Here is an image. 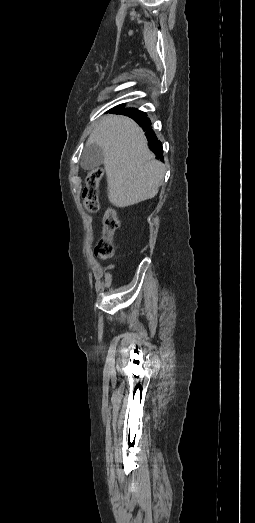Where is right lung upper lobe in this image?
Returning <instances> with one entry per match:
<instances>
[{"label":"right lung upper lobe","instance_id":"obj_1","mask_svg":"<svg viewBox=\"0 0 255 523\" xmlns=\"http://www.w3.org/2000/svg\"><path fill=\"white\" fill-rule=\"evenodd\" d=\"M110 112L121 113L134 119L139 125H141L143 131L148 140L149 148L155 153L156 158L163 161V148L161 142L156 138L153 130L150 128V120L146 117V114L135 108H123V105H119L110 110Z\"/></svg>","mask_w":255,"mask_h":523}]
</instances>
